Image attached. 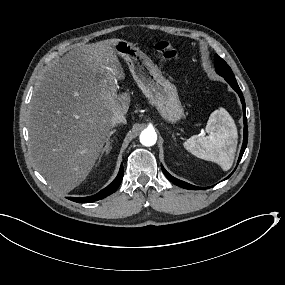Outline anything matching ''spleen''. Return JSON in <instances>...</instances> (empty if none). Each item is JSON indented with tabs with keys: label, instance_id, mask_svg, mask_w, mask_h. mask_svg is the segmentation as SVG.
Here are the masks:
<instances>
[{
	"label": "spleen",
	"instance_id": "obj_1",
	"mask_svg": "<svg viewBox=\"0 0 285 285\" xmlns=\"http://www.w3.org/2000/svg\"><path fill=\"white\" fill-rule=\"evenodd\" d=\"M204 131L207 136H192L182 143L184 149L199 159L218 164L227 171L233 161L235 129L219 110L213 111Z\"/></svg>",
	"mask_w": 285,
	"mask_h": 285
}]
</instances>
